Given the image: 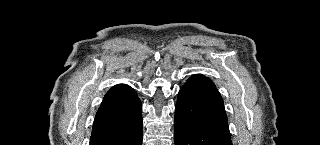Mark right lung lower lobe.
<instances>
[{"label": "right lung lower lobe", "instance_id": "98d812e1", "mask_svg": "<svg viewBox=\"0 0 320 145\" xmlns=\"http://www.w3.org/2000/svg\"><path fill=\"white\" fill-rule=\"evenodd\" d=\"M141 113L134 89L125 84L113 86L96 113L90 145H141Z\"/></svg>", "mask_w": 320, "mask_h": 145}]
</instances>
